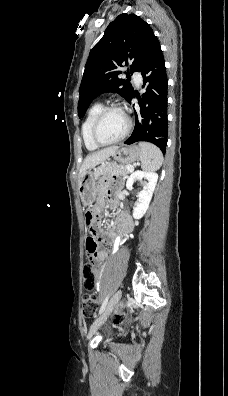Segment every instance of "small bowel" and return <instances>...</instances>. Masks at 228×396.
<instances>
[{
    "mask_svg": "<svg viewBox=\"0 0 228 396\" xmlns=\"http://www.w3.org/2000/svg\"><path fill=\"white\" fill-rule=\"evenodd\" d=\"M113 184H115V182H113ZM108 191L110 192V187H102V189H101V192H108ZM91 210L96 215V217L101 215V213L103 211L102 198L98 199V201L92 206ZM119 215L124 217L128 221V223L130 224V227L132 229V224H131L129 218L123 214H119ZM131 229H130V231H131ZM96 237L99 239V241L114 242L115 238H116V231L114 229H109L106 231L97 229ZM107 255H108V253L106 250L97 249L96 252L92 255V258L95 261V263H97L99 266H102L107 258ZM101 280H102V274L99 272V275L97 276V279L95 281V286H96L97 290L100 289Z\"/></svg>",
    "mask_w": 228,
    "mask_h": 396,
    "instance_id": "c3829d8e",
    "label": "small bowel"
}]
</instances>
